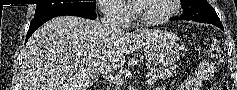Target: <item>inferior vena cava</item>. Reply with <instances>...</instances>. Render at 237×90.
<instances>
[{
  "label": "inferior vena cava",
  "instance_id": "1",
  "mask_svg": "<svg viewBox=\"0 0 237 90\" xmlns=\"http://www.w3.org/2000/svg\"><path fill=\"white\" fill-rule=\"evenodd\" d=\"M103 16L100 20V28L102 32H106V34H112V32H120L121 22L118 18V14L120 12L119 8L116 6H112V4H102V8H100ZM101 70H97L94 76L98 78V76H104V68L100 66Z\"/></svg>",
  "mask_w": 237,
  "mask_h": 90
}]
</instances>
